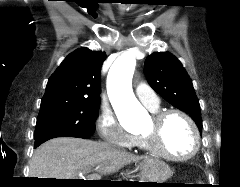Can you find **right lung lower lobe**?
<instances>
[{"mask_svg":"<svg viewBox=\"0 0 240 187\" xmlns=\"http://www.w3.org/2000/svg\"><path fill=\"white\" fill-rule=\"evenodd\" d=\"M56 137H75V136H72V135H68V134H65V133H53V134H48V135H45V136H42V137H39V138H36L35 139V148L38 147L40 144L44 143L45 141L49 140V139H52V138H56Z\"/></svg>","mask_w":240,"mask_h":187,"instance_id":"98d812e1","label":"right lung lower lobe"}]
</instances>
